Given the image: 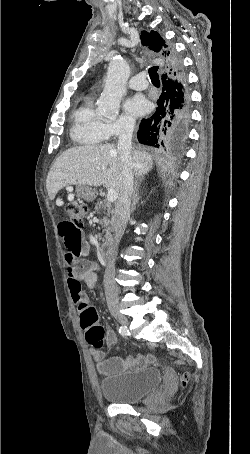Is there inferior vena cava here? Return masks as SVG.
<instances>
[{
	"label": "inferior vena cava",
	"instance_id": "1",
	"mask_svg": "<svg viewBox=\"0 0 250 454\" xmlns=\"http://www.w3.org/2000/svg\"><path fill=\"white\" fill-rule=\"evenodd\" d=\"M134 123H128L120 133L117 150L119 152L122 171L121 189L115 204L113 216L114 249L111 259L108 261L104 274L105 296L108 306L118 304V291L114 281V262L117 246L124 234L126 224L130 218L131 200L133 198V162H132V135Z\"/></svg>",
	"mask_w": 250,
	"mask_h": 454
}]
</instances>
